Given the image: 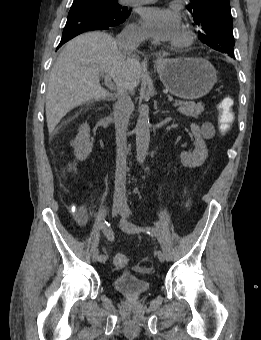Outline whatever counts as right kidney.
<instances>
[{"instance_id":"1","label":"right kidney","mask_w":261,"mask_h":340,"mask_svg":"<svg viewBox=\"0 0 261 340\" xmlns=\"http://www.w3.org/2000/svg\"><path fill=\"white\" fill-rule=\"evenodd\" d=\"M71 145L74 148V154L80 161H84L92 151L90 142V127L87 123L82 124L78 129V134Z\"/></svg>"}]
</instances>
